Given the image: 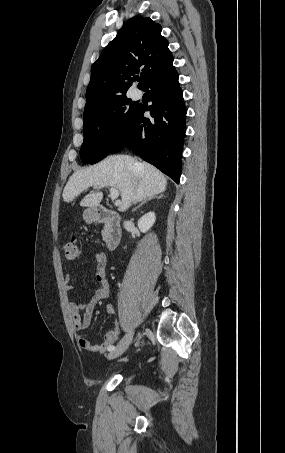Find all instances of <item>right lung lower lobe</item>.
I'll return each instance as SVG.
<instances>
[{
  "label": "right lung lower lobe",
  "instance_id": "obj_1",
  "mask_svg": "<svg viewBox=\"0 0 285 453\" xmlns=\"http://www.w3.org/2000/svg\"><path fill=\"white\" fill-rule=\"evenodd\" d=\"M143 90L152 105L138 106L111 153L128 148L179 183L186 108L174 66L152 77ZM145 110L152 118L144 117Z\"/></svg>",
  "mask_w": 285,
  "mask_h": 453
}]
</instances>
